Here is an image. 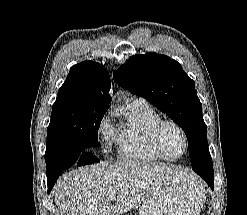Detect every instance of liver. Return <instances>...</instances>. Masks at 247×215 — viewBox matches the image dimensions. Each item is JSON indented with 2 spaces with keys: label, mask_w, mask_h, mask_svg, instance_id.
<instances>
[{
  "label": "liver",
  "mask_w": 247,
  "mask_h": 215,
  "mask_svg": "<svg viewBox=\"0 0 247 215\" xmlns=\"http://www.w3.org/2000/svg\"><path fill=\"white\" fill-rule=\"evenodd\" d=\"M179 174H184L183 169L172 165L102 163L64 174L53 193L61 215H120L140 206Z\"/></svg>",
  "instance_id": "liver-1"
}]
</instances>
